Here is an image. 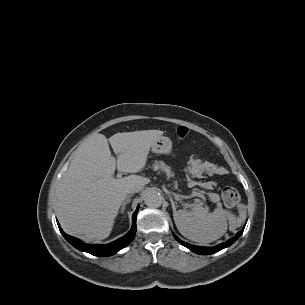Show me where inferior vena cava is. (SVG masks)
<instances>
[{"mask_svg":"<svg viewBox=\"0 0 305 305\" xmlns=\"http://www.w3.org/2000/svg\"><path fill=\"white\" fill-rule=\"evenodd\" d=\"M143 189L142 185H134L127 189V193H138Z\"/></svg>","mask_w":305,"mask_h":305,"instance_id":"obj_1","label":"inferior vena cava"}]
</instances>
